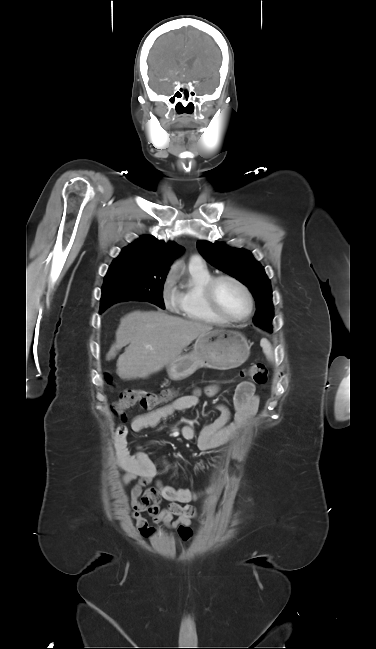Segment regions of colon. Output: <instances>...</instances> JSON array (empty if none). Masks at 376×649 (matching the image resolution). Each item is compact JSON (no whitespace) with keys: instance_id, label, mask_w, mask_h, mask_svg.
Returning <instances> with one entry per match:
<instances>
[{"instance_id":"colon-1","label":"colon","mask_w":376,"mask_h":649,"mask_svg":"<svg viewBox=\"0 0 376 649\" xmlns=\"http://www.w3.org/2000/svg\"><path fill=\"white\" fill-rule=\"evenodd\" d=\"M253 381L264 386L268 381V370L263 363L252 364L246 372ZM107 380L110 378L107 376ZM174 397L172 390H164L160 393L143 391L139 389H124L120 392L119 398L113 404V411L117 415H123L126 410L139 404L143 408H154L155 406L170 401Z\"/></svg>"}]
</instances>
